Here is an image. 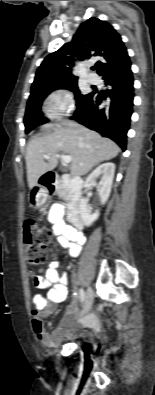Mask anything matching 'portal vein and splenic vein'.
Listing matches in <instances>:
<instances>
[{
  "label": "portal vein and splenic vein",
  "mask_w": 155,
  "mask_h": 395,
  "mask_svg": "<svg viewBox=\"0 0 155 395\" xmlns=\"http://www.w3.org/2000/svg\"><path fill=\"white\" fill-rule=\"evenodd\" d=\"M60 157H61L63 163H65V164L70 163L71 160H72V158H71L70 155H63V154H62ZM44 158H45V159H49V155H44Z\"/></svg>",
  "instance_id": "18ae733b"
}]
</instances>
